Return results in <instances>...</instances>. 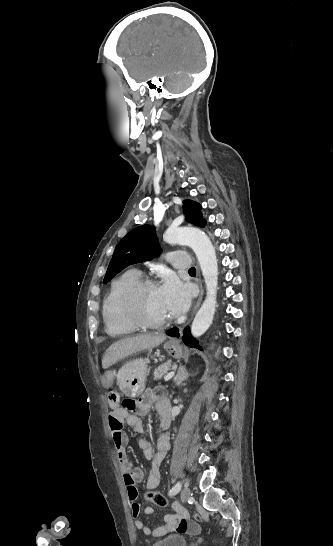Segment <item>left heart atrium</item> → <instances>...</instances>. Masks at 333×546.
<instances>
[{
    "label": "left heart atrium",
    "instance_id": "39dd6f15",
    "mask_svg": "<svg viewBox=\"0 0 333 546\" xmlns=\"http://www.w3.org/2000/svg\"><path fill=\"white\" fill-rule=\"evenodd\" d=\"M161 299L166 307L169 317L179 316L184 313L190 303V293L173 274H166L159 287Z\"/></svg>",
    "mask_w": 333,
    "mask_h": 546
}]
</instances>
